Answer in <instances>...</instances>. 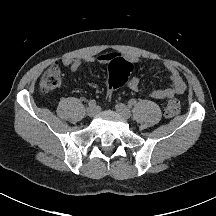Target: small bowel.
<instances>
[{"instance_id": "obj_1", "label": "small bowel", "mask_w": 216, "mask_h": 216, "mask_svg": "<svg viewBox=\"0 0 216 216\" xmlns=\"http://www.w3.org/2000/svg\"><path fill=\"white\" fill-rule=\"evenodd\" d=\"M121 60L127 61L131 64H135L139 63L141 61V58L134 54L107 52L97 57H89L84 60L65 58L62 60V63L63 65L68 66L72 72H76L86 62L98 63L100 65H110ZM164 67L170 80V86L163 89H152L150 91V96L155 99L163 100L171 98L175 95L183 94L187 88L186 83L184 82L180 73L171 63H165ZM127 86L132 91H138L140 88V79L138 77L131 78Z\"/></svg>"}]
</instances>
